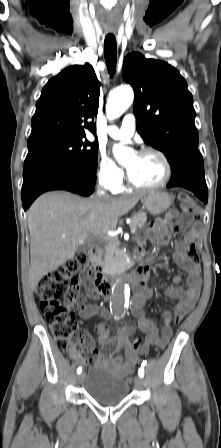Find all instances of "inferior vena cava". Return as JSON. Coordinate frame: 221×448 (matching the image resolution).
I'll return each mask as SVG.
<instances>
[{
    "label": "inferior vena cava",
    "instance_id": "obj_1",
    "mask_svg": "<svg viewBox=\"0 0 221 448\" xmlns=\"http://www.w3.org/2000/svg\"><path fill=\"white\" fill-rule=\"evenodd\" d=\"M97 195L101 197V196L105 195V193L102 190H98Z\"/></svg>",
    "mask_w": 221,
    "mask_h": 448
}]
</instances>
